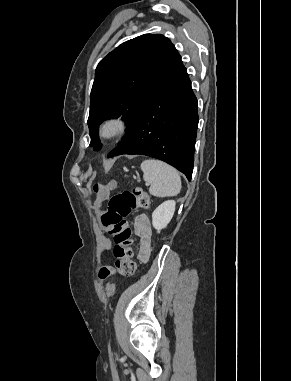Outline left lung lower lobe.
Returning a JSON list of instances; mask_svg holds the SVG:
<instances>
[{
	"instance_id": "0a47b994",
	"label": "left lung lower lobe",
	"mask_w": 291,
	"mask_h": 381,
	"mask_svg": "<svg viewBox=\"0 0 291 381\" xmlns=\"http://www.w3.org/2000/svg\"><path fill=\"white\" fill-rule=\"evenodd\" d=\"M198 126L197 99L184 66L148 101L122 141L108 154L163 160L191 180Z\"/></svg>"
}]
</instances>
